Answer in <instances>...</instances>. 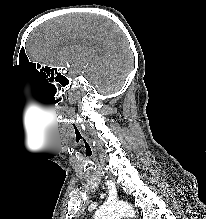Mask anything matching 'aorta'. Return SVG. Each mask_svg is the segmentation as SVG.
<instances>
[{
	"instance_id": "aorta-1",
	"label": "aorta",
	"mask_w": 206,
	"mask_h": 219,
	"mask_svg": "<svg viewBox=\"0 0 206 219\" xmlns=\"http://www.w3.org/2000/svg\"><path fill=\"white\" fill-rule=\"evenodd\" d=\"M133 208L126 202L106 203L95 213L94 219H121L123 216L134 217Z\"/></svg>"
}]
</instances>
